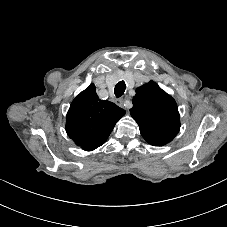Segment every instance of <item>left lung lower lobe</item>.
<instances>
[{"label":"left lung lower lobe","mask_w":227,"mask_h":227,"mask_svg":"<svg viewBox=\"0 0 227 227\" xmlns=\"http://www.w3.org/2000/svg\"><path fill=\"white\" fill-rule=\"evenodd\" d=\"M144 137V139L150 143L151 145H154V146H162V145H165V143L151 137V136H148V135H142Z\"/></svg>","instance_id":"0a47b994"}]
</instances>
